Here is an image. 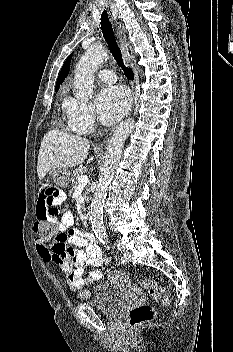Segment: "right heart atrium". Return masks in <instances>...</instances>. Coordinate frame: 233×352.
Masks as SVG:
<instances>
[{
  "instance_id": "right-heart-atrium-1",
  "label": "right heart atrium",
  "mask_w": 233,
  "mask_h": 352,
  "mask_svg": "<svg viewBox=\"0 0 233 352\" xmlns=\"http://www.w3.org/2000/svg\"><path fill=\"white\" fill-rule=\"evenodd\" d=\"M65 109L74 131L86 133L94 127L95 115L88 103L70 97L65 100Z\"/></svg>"
}]
</instances>
